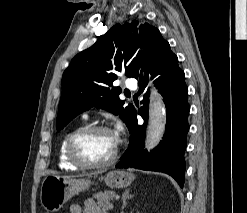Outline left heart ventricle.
Listing matches in <instances>:
<instances>
[{"label": "left heart ventricle", "instance_id": "left-heart-ventricle-1", "mask_svg": "<svg viewBox=\"0 0 247 213\" xmlns=\"http://www.w3.org/2000/svg\"><path fill=\"white\" fill-rule=\"evenodd\" d=\"M117 142L112 132H96L90 134L79 143L81 155L89 162H104L111 158Z\"/></svg>", "mask_w": 247, "mask_h": 213}]
</instances>
